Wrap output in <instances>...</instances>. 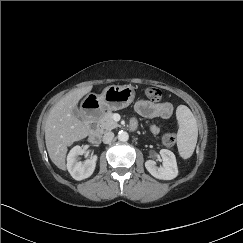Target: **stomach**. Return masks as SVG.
I'll return each mask as SVG.
<instances>
[{
	"mask_svg": "<svg viewBox=\"0 0 243 243\" xmlns=\"http://www.w3.org/2000/svg\"><path fill=\"white\" fill-rule=\"evenodd\" d=\"M135 98V90L130 85H110L100 95L89 93L83 103L88 101L102 110H120L129 106Z\"/></svg>",
	"mask_w": 243,
	"mask_h": 243,
	"instance_id": "obj_1",
	"label": "stomach"
}]
</instances>
